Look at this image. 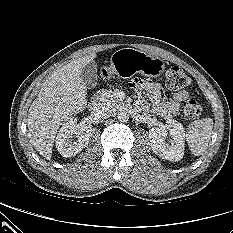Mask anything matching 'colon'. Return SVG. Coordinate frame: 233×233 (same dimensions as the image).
<instances>
[{"mask_svg":"<svg viewBox=\"0 0 233 233\" xmlns=\"http://www.w3.org/2000/svg\"><path fill=\"white\" fill-rule=\"evenodd\" d=\"M190 84V78L179 67L174 66L166 72V86L171 90H179L187 87ZM202 113L200 103L191 98L188 99L183 105V116L187 120H195L199 118Z\"/></svg>","mask_w":233,"mask_h":233,"instance_id":"1","label":"colon"}]
</instances>
